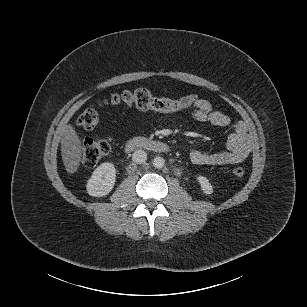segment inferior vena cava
<instances>
[{
	"mask_svg": "<svg viewBox=\"0 0 307 307\" xmlns=\"http://www.w3.org/2000/svg\"><path fill=\"white\" fill-rule=\"evenodd\" d=\"M132 160L134 163L143 164L147 160V153L142 149H138L134 151L132 155Z\"/></svg>",
	"mask_w": 307,
	"mask_h": 307,
	"instance_id": "1",
	"label": "inferior vena cava"
}]
</instances>
